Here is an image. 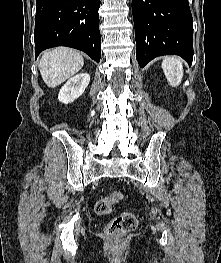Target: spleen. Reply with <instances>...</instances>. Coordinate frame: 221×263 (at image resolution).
Here are the masks:
<instances>
[{
	"label": "spleen",
	"instance_id": "obj_1",
	"mask_svg": "<svg viewBox=\"0 0 221 263\" xmlns=\"http://www.w3.org/2000/svg\"><path fill=\"white\" fill-rule=\"evenodd\" d=\"M162 69L172 87H177L181 83L183 77L181 58L175 56L165 57L162 62Z\"/></svg>",
	"mask_w": 221,
	"mask_h": 263
}]
</instances>
